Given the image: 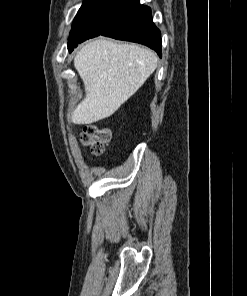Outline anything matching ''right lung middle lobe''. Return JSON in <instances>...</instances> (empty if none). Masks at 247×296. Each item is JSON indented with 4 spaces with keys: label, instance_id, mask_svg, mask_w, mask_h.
I'll use <instances>...</instances> for the list:
<instances>
[{
    "label": "right lung middle lobe",
    "instance_id": "obj_1",
    "mask_svg": "<svg viewBox=\"0 0 247 296\" xmlns=\"http://www.w3.org/2000/svg\"><path fill=\"white\" fill-rule=\"evenodd\" d=\"M110 0H84L70 32L68 49L71 52L88 34V24L97 17Z\"/></svg>",
    "mask_w": 247,
    "mask_h": 296
}]
</instances>
